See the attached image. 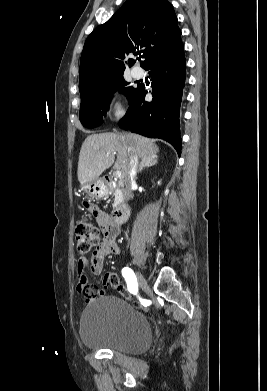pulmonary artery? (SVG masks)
I'll return each instance as SVG.
<instances>
[{"mask_svg":"<svg viewBox=\"0 0 267 391\" xmlns=\"http://www.w3.org/2000/svg\"><path fill=\"white\" fill-rule=\"evenodd\" d=\"M132 75L135 78H142L144 75V71L139 67H135L132 69Z\"/></svg>","mask_w":267,"mask_h":391,"instance_id":"pulmonary-artery-1","label":"pulmonary artery"}]
</instances>
